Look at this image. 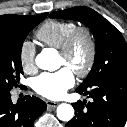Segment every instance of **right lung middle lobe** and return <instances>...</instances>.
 <instances>
[{
    "label": "right lung middle lobe",
    "mask_w": 127,
    "mask_h": 127,
    "mask_svg": "<svg viewBox=\"0 0 127 127\" xmlns=\"http://www.w3.org/2000/svg\"><path fill=\"white\" fill-rule=\"evenodd\" d=\"M46 14L14 25H0V93L10 92L17 87L23 74L21 50L28 33L44 20Z\"/></svg>",
    "instance_id": "right-lung-middle-lobe-1"
}]
</instances>
